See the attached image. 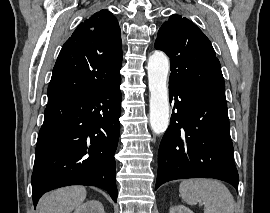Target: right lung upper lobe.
<instances>
[{
	"label": "right lung upper lobe",
	"instance_id": "obj_1",
	"mask_svg": "<svg viewBox=\"0 0 270 213\" xmlns=\"http://www.w3.org/2000/svg\"><path fill=\"white\" fill-rule=\"evenodd\" d=\"M121 31L101 10L82 22L63 45L48 86V103L85 96L121 81Z\"/></svg>",
	"mask_w": 270,
	"mask_h": 213
}]
</instances>
